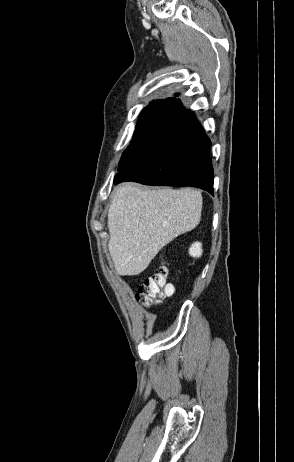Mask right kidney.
Masks as SVG:
<instances>
[{"mask_svg": "<svg viewBox=\"0 0 294 462\" xmlns=\"http://www.w3.org/2000/svg\"><path fill=\"white\" fill-rule=\"evenodd\" d=\"M202 244L200 242H195L189 248V254L194 258H199L202 255Z\"/></svg>", "mask_w": 294, "mask_h": 462, "instance_id": "right-kidney-1", "label": "right kidney"}]
</instances>
